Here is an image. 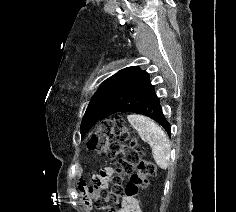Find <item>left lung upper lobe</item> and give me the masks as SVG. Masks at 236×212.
<instances>
[{"label":"left lung upper lobe","mask_w":236,"mask_h":212,"mask_svg":"<svg viewBox=\"0 0 236 212\" xmlns=\"http://www.w3.org/2000/svg\"><path fill=\"white\" fill-rule=\"evenodd\" d=\"M136 69L137 66L124 68L101 84V87L92 97L83 117L80 127L82 137L99 120L106 107L118 95Z\"/></svg>","instance_id":"1"}]
</instances>
